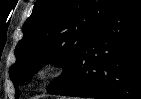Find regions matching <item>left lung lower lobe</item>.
<instances>
[{
    "instance_id": "0a47b994",
    "label": "left lung lower lobe",
    "mask_w": 141,
    "mask_h": 99,
    "mask_svg": "<svg viewBox=\"0 0 141 99\" xmlns=\"http://www.w3.org/2000/svg\"><path fill=\"white\" fill-rule=\"evenodd\" d=\"M50 94L141 99V0H119Z\"/></svg>"
}]
</instances>
